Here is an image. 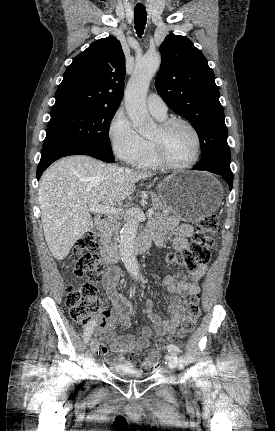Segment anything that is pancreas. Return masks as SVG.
Listing matches in <instances>:
<instances>
[{"instance_id": "pancreas-1", "label": "pancreas", "mask_w": 275, "mask_h": 431, "mask_svg": "<svg viewBox=\"0 0 275 431\" xmlns=\"http://www.w3.org/2000/svg\"><path fill=\"white\" fill-rule=\"evenodd\" d=\"M150 194H151L152 206L155 210H157V215H161V214L168 215L170 212V208L168 207V205L160 197H158L155 193L151 192ZM102 237H103V239H106L110 242V240L112 238V230L108 229L102 235Z\"/></svg>"}]
</instances>
